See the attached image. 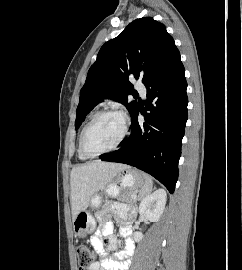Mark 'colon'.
<instances>
[{
  "mask_svg": "<svg viewBox=\"0 0 242 270\" xmlns=\"http://www.w3.org/2000/svg\"><path fill=\"white\" fill-rule=\"evenodd\" d=\"M79 270H88L95 262V251L86 244H81L76 249Z\"/></svg>",
  "mask_w": 242,
  "mask_h": 270,
  "instance_id": "1",
  "label": "colon"
}]
</instances>
